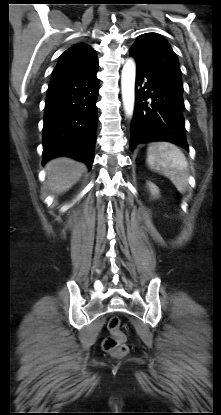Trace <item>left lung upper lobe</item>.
I'll list each match as a JSON object with an SVG mask.
<instances>
[{
	"instance_id": "left-lung-upper-lobe-1",
	"label": "left lung upper lobe",
	"mask_w": 221,
	"mask_h": 415,
	"mask_svg": "<svg viewBox=\"0 0 221 415\" xmlns=\"http://www.w3.org/2000/svg\"><path fill=\"white\" fill-rule=\"evenodd\" d=\"M129 53L135 58L137 66L183 88L177 56L169 43L158 34L146 33L139 36Z\"/></svg>"
}]
</instances>
